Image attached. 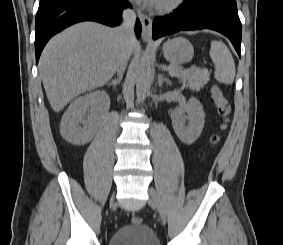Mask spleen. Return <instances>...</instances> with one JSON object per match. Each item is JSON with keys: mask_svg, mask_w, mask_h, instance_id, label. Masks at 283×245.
Instances as JSON below:
<instances>
[{"mask_svg": "<svg viewBox=\"0 0 283 245\" xmlns=\"http://www.w3.org/2000/svg\"><path fill=\"white\" fill-rule=\"evenodd\" d=\"M210 57L215 64V79L226 85L232 84L236 70L234 59L227 46L221 41H212Z\"/></svg>", "mask_w": 283, "mask_h": 245, "instance_id": "1", "label": "spleen"}]
</instances>
